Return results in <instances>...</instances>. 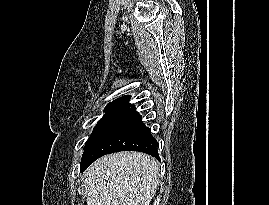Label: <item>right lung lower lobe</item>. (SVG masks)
<instances>
[{"label":"right lung lower lobe","mask_w":269,"mask_h":205,"mask_svg":"<svg viewBox=\"0 0 269 205\" xmlns=\"http://www.w3.org/2000/svg\"><path fill=\"white\" fill-rule=\"evenodd\" d=\"M158 143L134 107L107 124L84 149L80 171L103 155L118 151H139L160 161Z\"/></svg>","instance_id":"98d812e1"}]
</instances>
